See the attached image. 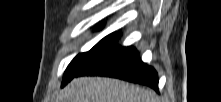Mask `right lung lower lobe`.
<instances>
[{
    "label": "right lung lower lobe",
    "mask_w": 221,
    "mask_h": 102,
    "mask_svg": "<svg viewBox=\"0 0 221 102\" xmlns=\"http://www.w3.org/2000/svg\"><path fill=\"white\" fill-rule=\"evenodd\" d=\"M115 44L116 42L75 73L64 77L62 86L77 76L100 75L144 84L158 91V75L154 68L141 61L139 52L134 47Z\"/></svg>",
    "instance_id": "right-lung-lower-lobe-1"
}]
</instances>
